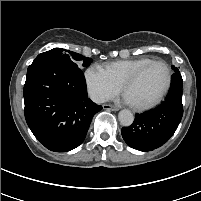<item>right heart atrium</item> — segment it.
Returning a JSON list of instances; mask_svg holds the SVG:
<instances>
[{"instance_id": "right-heart-atrium-1", "label": "right heart atrium", "mask_w": 201, "mask_h": 201, "mask_svg": "<svg viewBox=\"0 0 201 201\" xmlns=\"http://www.w3.org/2000/svg\"><path fill=\"white\" fill-rule=\"evenodd\" d=\"M84 77L88 94L97 103H103L111 99L120 90V86L100 65L89 66Z\"/></svg>"}]
</instances>
